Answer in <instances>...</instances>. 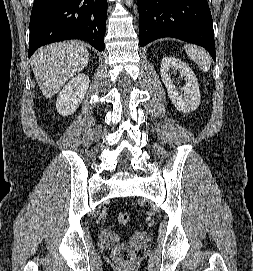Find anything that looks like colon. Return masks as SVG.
<instances>
[{"label":"colon","mask_w":253,"mask_h":271,"mask_svg":"<svg viewBox=\"0 0 253 271\" xmlns=\"http://www.w3.org/2000/svg\"><path fill=\"white\" fill-rule=\"evenodd\" d=\"M117 221L119 224L125 225L129 221V215L127 212H119L117 215ZM114 256L118 261L128 262L133 257V251L127 244H120L116 247Z\"/></svg>","instance_id":"5ec220e1"}]
</instances>
